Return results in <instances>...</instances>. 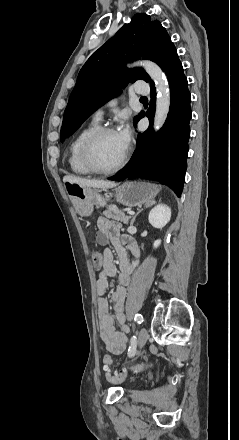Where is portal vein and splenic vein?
<instances>
[{
  "mask_svg": "<svg viewBox=\"0 0 239 440\" xmlns=\"http://www.w3.org/2000/svg\"><path fill=\"white\" fill-rule=\"evenodd\" d=\"M127 214H131V216H133V214H134V210H129V211L127 212Z\"/></svg>",
  "mask_w": 239,
  "mask_h": 440,
  "instance_id": "portal-vein-and-splenic-vein-1",
  "label": "portal vein and splenic vein"
}]
</instances>
